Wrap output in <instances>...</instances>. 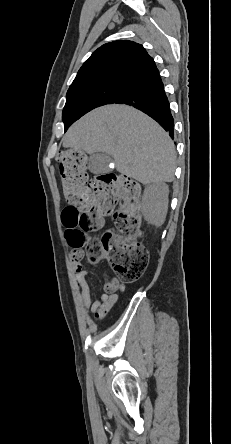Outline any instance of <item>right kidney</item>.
I'll use <instances>...</instances> for the list:
<instances>
[{
  "instance_id": "1",
  "label": "right kidney",
  "mask_w": 231,
  "mask_h": 444,
  "mask_svg": "<svg viewBox=\"0 0 231 444\" xmlns=\"http://www.w3.org/2000/svg\"><path fill=\"white\" fill-rule=\"evenodd\" d=\"M168 194L169 188L165 183H156L145 188L142 197V212L150 224L160 226L165 221Z\"/></svg>"
}]
</instances>
